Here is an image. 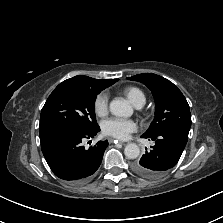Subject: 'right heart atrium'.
Segmentation results:
<instances>
[{"label":"right heart atrium","mask_w":223,"mask_h":223,"mask_svg":"<svg viewBox=\"0 0 223 223\" xmlns=\"http://www.w3.org/2000/svg\"><path fill=\"white\" fill-rule=\"evenodd\" d=\"M109 108V98L105 92L98 94L94 100V111L98 116L107 114Z\"/></svg>","instance_id":"obj_1"}]
</instances>
